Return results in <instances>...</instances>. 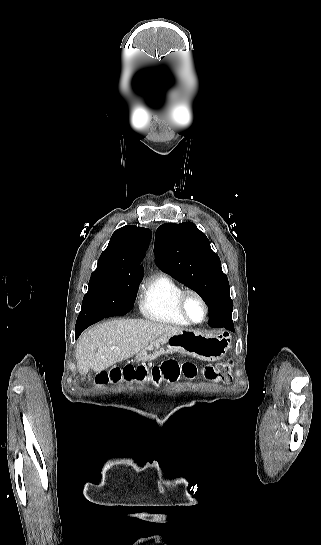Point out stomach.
<instances>
[{
  "instance_id": "1",
  "label": "stomach",
  "mask_w": 321,
  "mask_h": 545,
  "mask_svg": "<svg viewBox=\"0 0 321 545\" xmlns=\"http://www.w3.org/2000/svg\"><path fill=\"white\" fill-rule=\"evenodd\" d=\"M233 343L232 333L230 331H218L212 335H204L191 329H182L176 333L162 335L148 347L139 351L136 359L141 363L154 361L161 355H171V353H184L201 361H220L225 357L227 351L231 349Z\"/></svg>"
}]
</instances>
